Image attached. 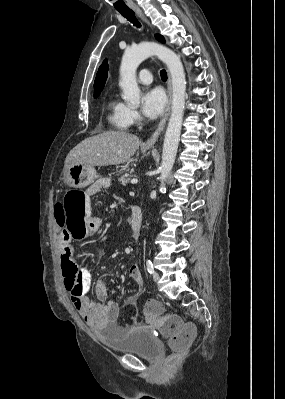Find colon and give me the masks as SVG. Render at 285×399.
<instances>
[{
  "mask_svg": "<svg viewBox=\"0 0 285 399\" xmlns=\"http://www.w3.org/2000/svg\"><path fill=\"white\" fill-rule=\"evenodd\" d=\"M62 217L60 225L69 232L74 241L91 236L92 223L87 213L86 201L75 192H67L61 202ZM61 270L67 292L72 300L80 301L83 281L78 275L79 267L72 255L61 257ZM143 312L154 320H160V331L168 339L171 348L177 352L186 350L196 337V329L192 324H184L176 316H164L163 307L157 299H148Z\"/></svg>",
  "mask_w": 285,
  "mask_h": 399,
  "instance_id": "1",
  "label": "colon"
}]
</instances>
